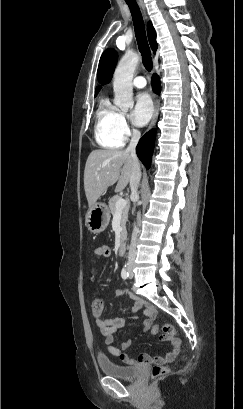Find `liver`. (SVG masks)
Masks as SVG:
<instances>
[{
  "label": "liver",
  "instance_id": "liver-1",
  "mask_svg": "<svg viewBox=\"0 0 243 409\" xmlns=\"http://www.w3.org/2000/svg\"><path fill=\"white\" fill-rule=\"evenodd\" d=\"M134 167V161L127 151L93 150L84 170V189L89 207L116 182L115 192H121L129 183Z\"/></svg>",
  "mask_w": 243,
  "mask_h": 409
}]
</instances>
